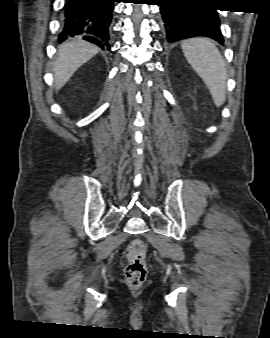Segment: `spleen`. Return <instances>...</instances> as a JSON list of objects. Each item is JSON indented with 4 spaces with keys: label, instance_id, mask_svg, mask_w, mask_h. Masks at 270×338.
I'll use <instances>...</instances> for the list:
<instances>
[{
    "label": "spleen",
    "instance_id": "3e777b00",
    "mask_svg": "<svg viewBox=\"0 0 270 338\" xmlns=\"http://www.w3.org/2000/svg\"><path fill=\"white\" fill-rule=\"evenodd\" d=\"M181 48L188 63L208 87L215 105L220 107L226 99L227 80L225 61L220 51L207 38L185 40Z\"/></svg>",
    "mask_w": 270,
    "mask_h": 338
}]
</instances>
